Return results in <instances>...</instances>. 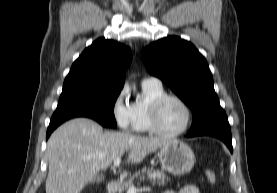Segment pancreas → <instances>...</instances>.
<instances>
[{
  "label": "pancreas",
  "mask_w": 277,
  "mask_h": 193,
  "mask_svg": "<svg viewBox=\"0 0 277 193\" xmlns=\"http://www.w3.org/2000/svg\"><path fill=\"white\" fill-rule=\"evenodd\" d=\"M148 178L154 185L156 182L159 185H165L168 181V176L165 175L163 170L154 169L153 167H143L141 170L136 171L128 180L119 183L120 193L127 191L135 179L145 180Z\"/></svg>",
  "instance_id": "1"
}]
</instances>
